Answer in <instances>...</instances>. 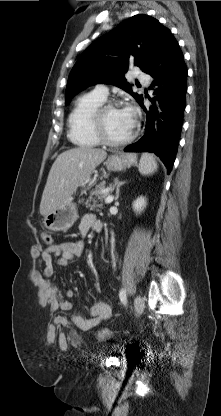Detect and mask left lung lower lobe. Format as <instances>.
<instances>
[{
	"instance_id": "0a47b994",
	"label": "left lung lower lobe",
	"mask_w": 221,
	"mask_h": 416,
	"mask_svg": "<svg viewBox=\"0 0 221 416\" xmlns=\"http://www.w3.org/2000/svg\"><path fill=\"white\" fill-rule=\"evenodd\" d=\"M151 75L155 87L152 106L146 108L143 99L139 103L146 113L144 136L127 146V152H152L156 154L170 173L178 149L183 124L187 91V67L183 53L172 33L166 31L146 72Z\"/></svg>"
}]
</instances>
